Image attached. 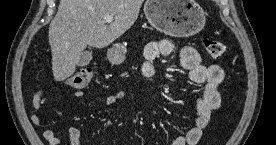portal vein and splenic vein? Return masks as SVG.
Returning <instances> with one entry per match:
<instances>
[{
    "instance_id": "portal-vein-and-splenic-vein-1",
    "label": "portal vein and splenic vein",
    "mask_w": 276,
    "mask_h": 145,
    "mask_svg": "<svg viewBox=\"0 0 276 145\" xmlns=\"http://www.w3.org/2000/svg\"><path fill=\"white\" fill-rule=\"evenodd\" d=\"M114 16H106L105 17V21L107 22V23H110V22H112L113 20H114Z\"/></svg>"
}]
</instances>
